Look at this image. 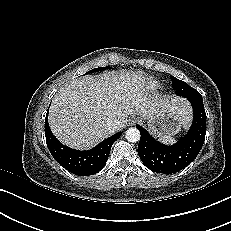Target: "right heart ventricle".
I'll list each match as a JSON object with an SVG mask.
<instances>
[{"label": "right heart ventricle", "mask_w": 231, "mask_h": 231, "mask_svg": "<svg viewBox=\"0 0 231 231\" xmlns=\"http://www.w3.org/2000/svg\"><path fill=\"white\" fill-rule=\"evenodd\" d=\"M148 84L151 89H157L159 87V83L157 81H150Z\"/></svg>", "instance_id": "e07e8e85"}]
</instances>
